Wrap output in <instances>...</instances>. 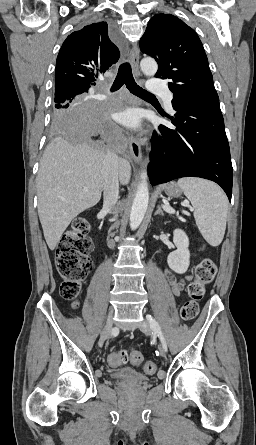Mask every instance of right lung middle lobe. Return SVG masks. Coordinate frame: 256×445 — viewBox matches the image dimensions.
Segmentation results:
<instances>
[{
    "label": "right lung middle lobe",
    "instance_id": "dd1d6c3e",
    "mask_svg": "<svg viewBox=\"0 0 256 445\" xmlns=\"http://www.w3.org/2000/svg\"><path fill=\"white\" fill-rule=\"evenodd\" d=\"M87 99L86 93H70L64 96H55L52 131L54 133H65L70 139L74 138L69 128V115L77 106Z\"/></svg>",
    "mask_w": 256,
    "mask_h": 445
}]
</instances>
